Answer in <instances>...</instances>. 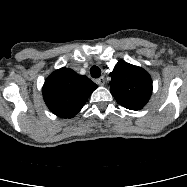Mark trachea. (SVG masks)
Here are the masks:
<instances>
[{"instance_id": "1", "label": "trachea", "mask_w": 187, "mask_h": 187, "mask_svg": "<svg viewBox=\"0 0 187 187\" xmlns=\"http://www.w3.org/2000/svg\"><path fill=\"white\" fill-rule=\"evenodd\" d=\"M90 74L93 78H99L101 76V70L98 66H92L90 68Z\"/></svg>"}]
</instances>
